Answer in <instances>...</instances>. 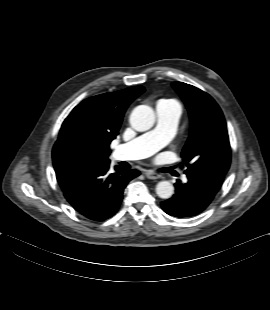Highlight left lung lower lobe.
I'll return each instance as SVG.
<instances>
[{"mask_svg":"<svg viewBox=\"0 0 270 310\" xmlns=\"http://www.w3.org/2000/svg\"><path fill=\"white\" fill-rule=\"evenodd\" d=\"M188 182L175 183L174 196L161 203L163 210L178 218L192 217L203 212L220 190L224 178L198 172L185 173Z\"/></svg>","mask_w":270,"mask_h":310,"instance_id":"obj_1","label":"left lung lower lobe"}]
</instances>
